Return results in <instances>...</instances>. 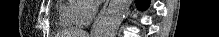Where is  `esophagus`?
Listing matches in <instances>:
<instances>
[{
	"mask_svg": "<svg viewBox=\"0 0 219 37\" xmlns=\"http://www.w3.org/2000/svg\"><path fill=\"white\" fill-rule=\"evenodd\" d=\"M112 0H107L102 8V10L100 11V13L98 14L97 18L95 19L93 25H92V29H91V35L92 36H97L99 33V29L101 27V23L103 18L105 17L107 11L110 9Z\"/></svg>",
	"mask_w": 219,
	"mask_h": 37,
	"instance_id": "34e87169",
	"label": "esophagus"
}]
</instances>
